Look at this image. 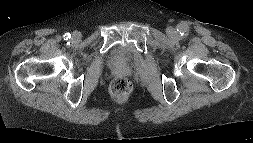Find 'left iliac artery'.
I'll list each match as a JSON object with an SVG mask.
<instances>
[{"label": "left iliac artery", "mask_w": 253, "mask_h": 143, "mask_svg": "<svg viewBox=\"0 0 253 143\" xmlns=\"http://www.w3.org/2000/svg\"><path fill=\"white\" fill-rule=\"evenodd\" d=\"M188 33H189L188 29H182L180 31V35H181L182 38H185L188 35Z\"/></svg>", "instance_id": "left-iliac-artery-1"}]
</instances>
